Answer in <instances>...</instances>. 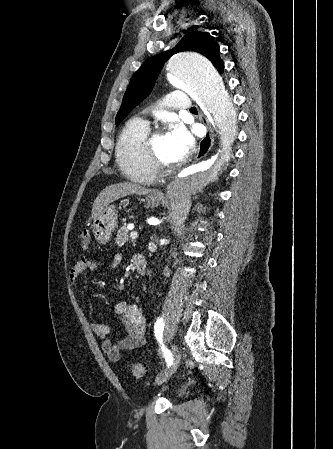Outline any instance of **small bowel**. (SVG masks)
Returning <instances> with one entry per match:
<instances>
[{"mask_svg": "<svg viewBox=\"0 0 333 449\" xmlns=\"http://www.w3.org/2000/svg\"><path fill=\"white\" fill-rule=\"evenodd\" d=\"M121 257L117 256L113 265L120 263ZM95 271V263L86 258H80L71 268L69 277L72 284H77L81 276L86 271ZM115 313L124 320L125 334L117 342H113L109 338L110 327L102 322L92 324V330L96 336L101 338L102 350L112 361H118L124 351H129L142 346L145 342V334L147 328L146 317L143 312L132 303L127 301H118L114 305Z\"/></svg>", "mask_w": 333, "mask_h": 449, "instance_id": "obj_1", "label": "small bowel"}]
</instances>
